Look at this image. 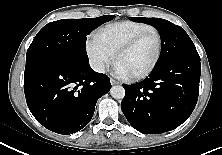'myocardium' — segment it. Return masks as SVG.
I'll list each match as a JSON object with an SVG mask.
<instances>
[{
	"mask_svg": "<svg viewBox=\"0 0 222 155\" xmlns=\"http://www.w3.org/2000/svg\"><path fill=\"white\" fill-rule=\"evenodd\" d=\"M152 33L155 34L158 39V50H157L156 57L153 63L146 70L135 75H130V78L133 80H141V79L146 78L155 70V68L159 64L161 56H162V51H163V38H162L161 33L156 28L152 30L144 31L136 35L135 37H133L126 43H124L122 46H120L115 53V59L118 60L120 55L134 48L143 38H145L146 36Z\"/></svg>",
	"mask_w": 222,
	"mask_h": 155,
	"instance_id": "f54148a6",
	"label": "myocardium"
}]
</instances>
